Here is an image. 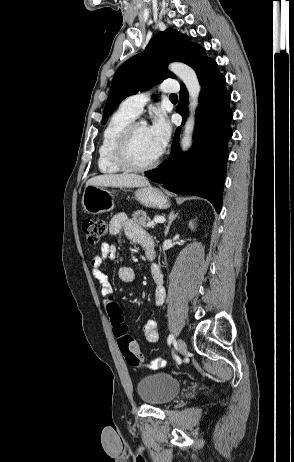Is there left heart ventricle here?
Returning a JSON list of instances; mask_svg holds the SVG:
<instances>
[{"label":"left heart ventricle","instance_id":"1","mask_svg":"<svg viewBox=\"0 0 294 462\" xmlns=\"http://www.w3.org/2000/svg\"><path fill=\"white\" fill-rule=\"evenodd\" d=\"M159 154L149 133L148 127L139 126L132 138L130 157L132 162L143 165L153 160Z\"/></svg>","mask_w":294,"mask_h":462}]
</instances>
